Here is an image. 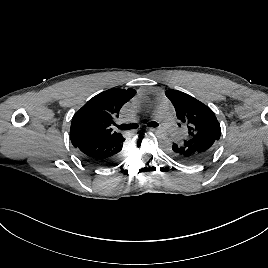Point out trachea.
<instances>
[{
    "label": "trachea",
    "instance_id": "obj_1",
    "mask_svg": "<svg viewBox=\"0 0 268 268\" xmlns=\"http://www.w3.org/2000/svg\"><path fill=\"white\" fill-rule=\"evenodd\" d=\"M159 124L155 121H152V122H149L147 124V126L149 127H157ZM117 127L119 129H122V130H132V129H136L139 127V125L137 123H132V124H122V125H117Z\"/></svg>",
    "mask_w": 268,
    "mask_h": 268
}]
</instances>
